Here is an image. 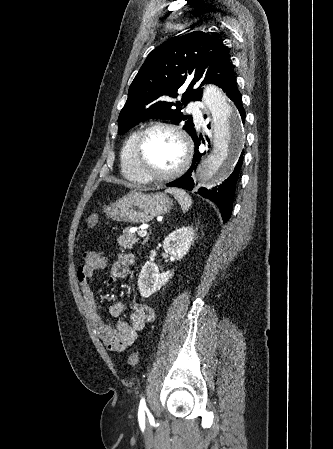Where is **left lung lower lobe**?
<instances>
[{
    "label": "left lung lower lobe",
    "mask_w": 333,
    "mask_h": 449,
    "mask_svg": "<svg viewBox=\"0 0 333 449\" xmlns=\"http://www.w3.org/2000/svg\"><path fill=\"white\" fill-rule=\"evenodd\" d=\"M221 88L223 89L224 92H226L227 96L234 102V104L239 110L242 120L244 121L245 111L242 106V97L237 89L236 77L233 72L226 78ZM207 126L210 129V125ZM191 137L195 143V155L193 158V164L183 176L167 184V186L180 187L187 190H192L194 187V182L191 177L192 171L196 163H198L199 160L201 159L203 153L199 151L201 138L200 137L198 138L196 133ZM242 161L243 156H240L233 173L221 185L214 187L212 189H206L204 187H201L198 190V193L202 197L213 201L219 207L224 222H227L229 220V217L231 216L234 193L238 175L242 166Z\"/></svg>",
    "instance_id": "left-lung-lower-lobe-1"
}]
</instances>
